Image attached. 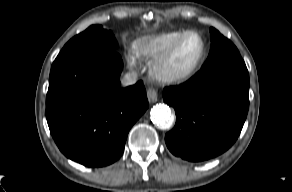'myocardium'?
<instances>
[{"label":"myocardium","mask_w":292,"mask_h":192,"mask_svg":"<svg viewBox=\"0 0 292 192\" xmlns=\"http://www.w3.org/2000/svg\"><path fill=\"white\" fill-rule=\"evenodd\" d=\"M190 35L197 36L202 44V51L195 63L184 71H174L171 68L172 60L174 59L181 43ZM208 46L205 38L197 31L188 30L184 32L176 41L169 47V49L155 61L152 67L153 76L163 83H182L191 79L203 66L207 59Z\"/></svg>","instance_id":"myocardium-1"}]
</instances>
